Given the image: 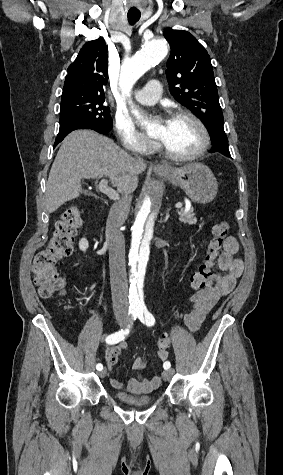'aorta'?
I'll return each instance as SVG.
<instances>
[{"label":"aorta","mask_w":283,"mask_h":475,"mask_svg":"<svg viewBox=\"0 0 283 475\" xmlns=\"http://www.w3.org/2000/svg\"><path fill=\"white\" fill-rule=\"evenodd\" d=\"M168 54L165 39H153L146 43L133 57L126 59L121 68L120 88L130 97L136 81L153 65L163 60ZM131 103V102H130ZM132 113L140 120L141 126L148 132L156 125L143 120L140 111L131 103ZM166 188L162 179L150 181L143 189L135 216L130 228L131 245L129 251L130 291L129 303L132 308L140 309L144 305V278L150 256L151 241L155 228L160 221L165 204Z\"/></svg>","instance_id":"762f6f07"}]
</instances>
